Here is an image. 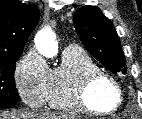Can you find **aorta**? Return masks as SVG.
<instances>
[{
	"label": "aorta",
	"instance_id": "aorta-1",
	"mask_svg": "<svg viewBox=\"0 0 142 119\" xmlns=\"http://www.w3.org/2000/svg\"><path fill=\"white\" fill-rule=\"evenodd\" d=\"M38 52L46 58H53L58 53V43L55 33L50 29H42L35 36Z\"/></svg>",
	"mask_w": 142,
	"mask_h": 119
}]
</instances>
